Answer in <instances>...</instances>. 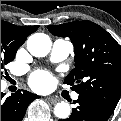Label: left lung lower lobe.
I'll return each instance as SVG.
<instances>
[{"label":"left lung lower lobe","mask_w":121,"mask_h":121,"mask_svg":"<svg viewBox=\"0 0 121 121\" xmlns=\"http://www.w3.org/2000/svg\"><path fill=\"white\" fill-rule=\"evenodd\" d=\"M77 108H73L69 118L59 121H107L114 109L97 99L79 95Z\"/></svg>","instance_id":"1"}]
</instances>
